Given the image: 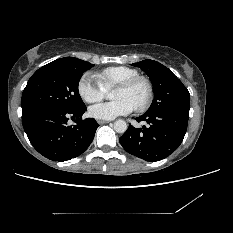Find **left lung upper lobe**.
I'll return each mask as SVG.
<instances>
[{
  "label": "left lung upper lobe",
  "mask_w": 233,
  "mask_h": 233,
  "mask_svg": "<svg viewBox=\"0 0 233 233\" xmlns=\"http://www.w3.org/2000/svg\"><path fill=\"white\" fill-rule=\"evenodd\" d=\"M132 65L141 68L153 84L154 99L146 113L189 107L190 94L170 69L150 59Z\"/></svg>",
  "instance_id": "left-lung-upper-lobe-1"
}]
</instances>
